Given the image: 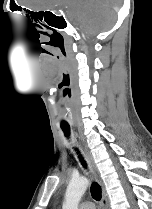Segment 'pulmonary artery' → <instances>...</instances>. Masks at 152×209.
Masks as SVG:
<instances>
[{"instance_id": "1", "label": "pulmonary artery", "mask_w": 152, "mask_h": 209, "mask_svg": "<svg viewBox=\"0 0 152 209\" xmlns=\"http://www.w3.org/2000/svg\"><path fill=\"white\" fill-rule=\"evenodd\" d=\"M79 209H95V205L92 202H83L80 204Z\"/></svg>"}]
</instances>
